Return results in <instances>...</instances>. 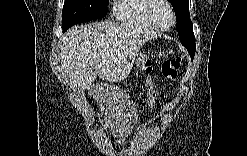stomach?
I'll return each instance as SVG.
<instances>
[{
	"label": "stomach",
	"mask_w": 247,
	"mask_h": 156,
	"mask_svg": "<svg viewBox=\"0 0 247 156\" xmlns=\"http://www.w3.org/2000/svg\"><path fill=\"white\" fill-rule=\"evenodd\" d=\"M144 59L145 58L142 55H140L135 62L136 66H140L144 62Z\"/></svg>",
	"instance_id": "stomach-1"
}]
</instances>
